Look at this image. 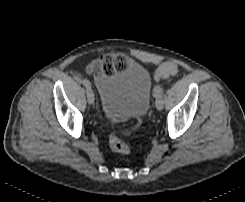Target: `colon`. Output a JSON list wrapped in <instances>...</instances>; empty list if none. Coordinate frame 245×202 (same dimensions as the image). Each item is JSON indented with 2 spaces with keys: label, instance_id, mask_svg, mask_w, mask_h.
Segmentation results:
<instances>
[{
  "label": "colon",
  "instance_id": "5ec220e1",
  "mask_svg": "<svg viewBox=\"0 0 245 202\" xmlns=\"http://www.w3.org/2000/svg\"><path fill=\"white\" fill-rule=\"evenodd\" d=\"M95 70L102 71L107 74H112L116 71L124 70L127 66V58L124 55H109L102 59L96 60L93 63ZM178 70V63L171 61L165 63L157 70L159 79H164L168 76L174 75ZM127 132H115L109 137L110 148L120 154H127L130 152V146L124 140Z\"/></svg>",
  "mask_w": 245,
  "mask_h": 202
}]
</instances>
